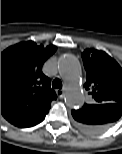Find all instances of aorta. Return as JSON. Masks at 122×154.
Here are the masks:
<instances>
[{
    "label": "aorta",
    "instance_id": "762f6f07",
    "mask_svg": "<svg viewBox=\"0 0 122 154\" xmlns=\"http://www.w3.org/2000/svg\"><path fill=\"white\" fill-rule=\"evenodd\" d=\"M58 70L66 84L65 101L69 107H80L84 102L81 87V68L79 61L72 55L61 57Z\"/></svg>",
    "mask_w": 122,
    "mask_h": 154
}]
</instances>
